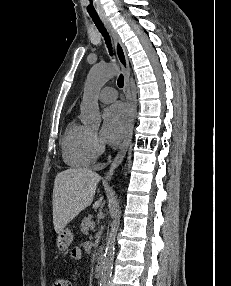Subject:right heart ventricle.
<instances>
[{
	"label": "right heart ventricle",
	"mask_w": 231,
	"mask_h": 286,
	"mask_svg": "<svg viewBox=\"0 0 231 286\" xmlns=\"http://www.w3.org/2000/svg\"><path fill=\"white\" fill-rule=\"evenodd\" d=\"M64 162L74 168L87 167L96 160L91 132L76 120L68 123L61 141Z\"/></svg>",
	"instance_id": "e07e8e85"
}]
</instances>
